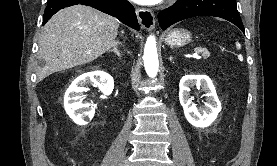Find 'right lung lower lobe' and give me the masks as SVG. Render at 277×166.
<instances>
[{
	"instance_id": "1",
	"label": "right lung lower lobe",
	"mask_w": 277,
	"mask_h": 166,
	"mask_svg": "<svg viewBox=\"0 0 277 166\" xmlns=\"http://www.w3.org/2000/svg\"><path fill=\"white\" fill-rule=\"evenodd\" d=\"M83 4L118 18L136 30L140 29L135 9L127 0H49L43 16V25L60 9Z\"/></svg>"
}]
</instances>
